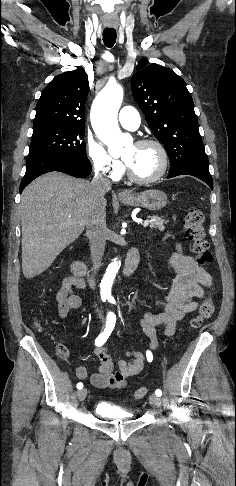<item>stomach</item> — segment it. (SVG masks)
Listing matches in <instances>:
<instances>
[{"mask_svg":"<svg viewBox=\"0 0 236 486\" xmlns=\"http://www.w3.org/2000/svg\"><path fill=\"white\" fill-rule=\"evenodd\" d=\"M120 201L128 206H141L151 211H157L166 206L167 196L161 190L151 189L132 194L129 198H121Z\"/></svg>","mask_w":236,"mask_h":486,"instance_id":"obj_1","label":"stomach"}]
</instances>
